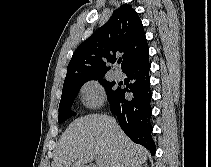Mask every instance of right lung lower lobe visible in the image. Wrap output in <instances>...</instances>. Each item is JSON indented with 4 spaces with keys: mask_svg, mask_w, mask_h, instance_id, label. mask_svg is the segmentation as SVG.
Instances as JSON below:
<instances>
[{
    "mask_svg": "<svg viewBox=\"0 0 211 167\" xmlns=\"http://www.w3.org/2000/svg\"><path fill=\"white\" fill-rule=\"evenodd\" d=\"M149 55L127 68L124 73L133 83L126 89L119 88L109 101L111 112L117 116L120 127L135 143L155 154L156 147L151 133V97ZM130 92L133 98H126Z\"/></svg>",
    "mask_w": 211,
    "mask_h": 167,
    "instance_id": "98d812e1",
    "label": "right lung lower lobe"
}]
</instances>
